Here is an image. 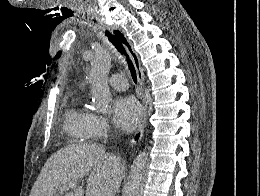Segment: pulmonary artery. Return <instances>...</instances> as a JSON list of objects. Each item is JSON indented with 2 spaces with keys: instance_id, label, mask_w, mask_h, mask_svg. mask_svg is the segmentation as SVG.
Here are the masks:
<instances>
[{
  "instance_id": "obj_1",
  "label": "pulmonary artery",
  "mask_w": 260,
  "mask_h": 196,
  "mask_svg": "<svg viewBox=\"0 0 260 196\" xmlns=\"http://www.w3.org/2000/svg\"><path fill=\"white\" fill-rule=\"evenodd\" d=\"M104 84H125L126 76L123 72H114L113 79H104ZM107 90H128V85H107Z\"/></svg>"
}]
</instances>
